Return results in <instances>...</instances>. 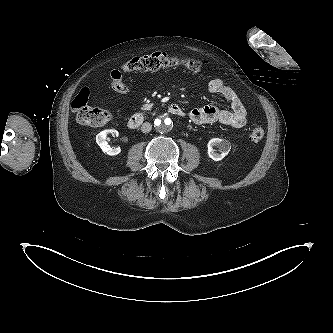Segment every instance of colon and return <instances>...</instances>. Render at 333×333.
<instances>
[{
    "label": "colon",
    "mask_w": 333,
    "mask_h": 333,
    "mask_svg": "<svg viewBox=\"0 0 333 333\" xmlns=\"http://www.w3.org/2000/svg\"><path fill=\"white\" fill-rule=\"evenodd\" d=\"M178 65H182L193 71H200L204 62L192 58L170 55L165 52H155L149 55L133 57L122 66L121 70H113L111 72V86L116 92L123 93L127 90L123 77L125 73L153 71L163 67ZM90 96V89L84 88L72 101V110L77 122L85 126H100L111 120L115 113L90 106ZM264 134L263 128L254 127L250 132V140L257 143L263 139Z\"/></svg>",
    "instance_id": "colon-1"
}]
</instances>
